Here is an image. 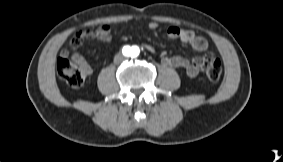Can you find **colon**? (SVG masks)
<instances>
[{"label": "colon", "mask_w": 283, "mask_h": 162, "mask_svg": "<svg viewBox=\"0 0 283 162\" xmlns=\"http://www.w3.org/2000/svg\"><path fill=\"white\" fill-rule=\"evenodd\" d=\"M57 74L71 87H80L84 84L90 68L86 62L69 59L61 56L56 64ZM204 74L211 82H217L222 74V63L218 58L212 56L206 57L203 64Z\"/></svg>", "instance_id": "5ec220e1"}]
</instances>
